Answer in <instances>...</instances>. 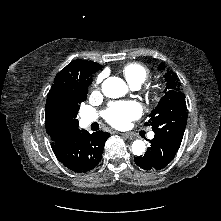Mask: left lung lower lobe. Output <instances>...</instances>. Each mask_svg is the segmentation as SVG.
Listing matches in <instances>:
<instances>
[{
    "label": "left lung lower lobe",
    "instance_id": "left-lung-lower-lobe-1",
    "mask_svg": "<svg viewBox=\"0 0 221 221\" xmlns=\"http://www.w3.org/2000/svg\"><path fill=\"white\" fill-rule=\"evenodd\" d=\"M143 156L134 157L135 163L144 170H160L175 156L181 141L155 134Z\"/></svg>",
    "mask_w": 221,
    "mask_h": 221
}]
</instances>
